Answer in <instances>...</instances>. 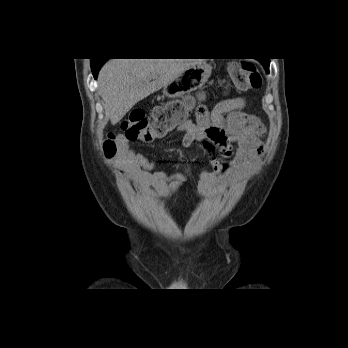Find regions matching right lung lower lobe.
<instances>
[{
  "label": "right lung lower lobe",
  "mask_w": 348,
  "mask_h": 348,
  "mask_svg": "<svg viewBox=\"0 0 348 348\" xmlns=\"http://www.w3.org/2000/svg\"><path fill=\"white\" fill-rule=\"evenodd\" d=\"M105 61L106 60H102L100 63L99 62H95V63L91 64L93 76H94L95 79L97 78V74H98L99 69L101 68V66L103 65V63Z\"/></svg>",
  "instance_id": "obj_1"
}]
</instances>
